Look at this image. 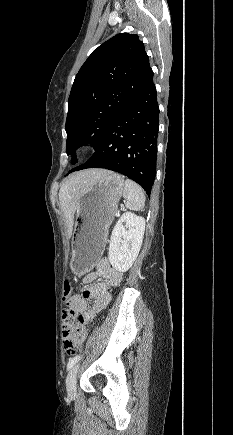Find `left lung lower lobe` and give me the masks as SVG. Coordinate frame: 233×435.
Listing matches in <instances>:
<instances>
[{"label":"left lung lower lobe","instance_id":"0a47b994","mask_svg":"<svg viewBox=\"0 0 233 435\" xmlns=\"http://www.w3.org/2000/svg\"><path fill=\"white\" fill-rule=\"evenodd\" d=\"M159 107L153 79L110 125L91 159L70 172L105 168L140 184L150 195L156 174Z\"/></svg>","mask_w":233,"mask_h":435}]
</instances>
